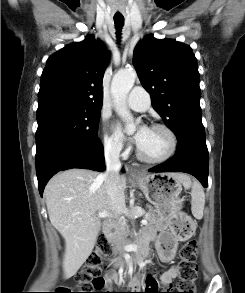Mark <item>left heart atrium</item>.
I'll return each mask as SVG.
<instances>
[{"mask_svg":"<svg viewBox=\"0 0 245 293\" xmlns=\"http://www.w3.org/2000/svg\"><path fill=\"white\" fill-rule=\"evenodd\" d=\"M116 130H117V133H118L119 135H122V134H123V129H122L121 125H118V126L116 127ZM148 131H149V128H148V127H146V126H142V127L138 130V132L135 134V136L133 137V141H134L138 146H140V145L143 143V141H144V139H145V137H146Z\"/></svg>","mask_w":245,"mask_h":293,"instance_id":"obj_1","label":"left heart atrium"}]
</instances>
